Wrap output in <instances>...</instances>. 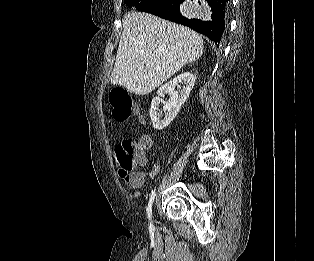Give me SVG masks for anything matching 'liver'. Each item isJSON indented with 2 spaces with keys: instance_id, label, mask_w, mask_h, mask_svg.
I'll list each match as a JSON object with an SVG mask.
<instances>
[{
  "instance_id": "liver-1",
  "label": "liver",
  "mask_w": 314,
  "mask_h": 261,
  "mask_svg": "<svg viewBox=\"0 0 314 261\" xmlns=\"http://www.w3.org/2000/svg\"><path fill=\"white\" fill-rule=\"evenodd\" d=\"M202 54L203 39L196 32L133 10L123 19L111 82L147 95Z\"/></svg>"
}]
</instances>
